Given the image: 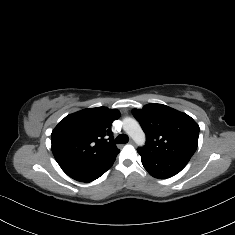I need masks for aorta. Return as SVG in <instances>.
Masks as SVG:
<instances>
[{
  "mask_svg": "<svg viewBox=\"0 0 235 235\" xmlns=\"http://www.w3.org/2000/svg\"><path fill=\"white\" fill-rule=\"evenodd\" d=\"M123 129L138 146L145 144V133L135 119L130 117L125 118L123 120Z\"/></svg>",
  "mask_w": 235,
  "mask_h": 235,
  "instance_id": "obj_1",
  "label": "aorta"
}]
</instances>
